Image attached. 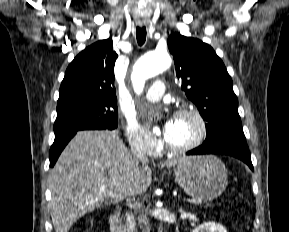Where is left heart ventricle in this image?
Instances as JSON below:
<instances>
[{"label":"left heart ventricle","instance_id":"1","mask_svg":"<svg viewBox=\"0 0 289 232\" xmlns=\"http://www.w3.org/2000/svg\"><path fill=\"white\" fill-rule=\"evenodd\" d=\"M198 134V124L191 115L174 117V130L170 145L175 147L184 146L195 139Z\"/></svg>","mask_w":289,"mask_h":232}]
</instances>
